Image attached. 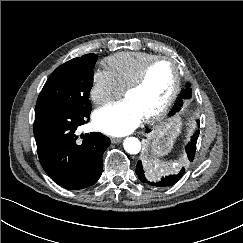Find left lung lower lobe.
Wrapping results in <instances>:
<instances>
[{
	"label": "left lung lower lobe",
	"mask_w": 243,
	"mask_h": 243,
	"mask_svg": "<svg viewBox=\"0 0 243 243\" xmlns=\"http://www.w3.org/2000/svg\"><path fill=\"white\" fill-rule=\"evenodd\" d=\"M181 106H182V100H179V102L176 104V106L173 108V110L170 114L172 115L176 111H179ZM198 124H199V121H198ZM150 131H151L150 129L146 130V132H150ZM198 135H199V131H196L194 133V135L191 137V141L186 146V153H187L188 159L190 161H193L194 156H195ZM184 172H185V169L182 168L178 174L166 176L165 178H162L158 182H151V181L147 180L144 175V170H143L141 161H138L137 166H136V174L138 175L139 180L143 183H146V184H149L150 186H155V187H167V186L174 185L182 177Z\"/></svg>",
	"instance_id": "1"
}]
</instances>
